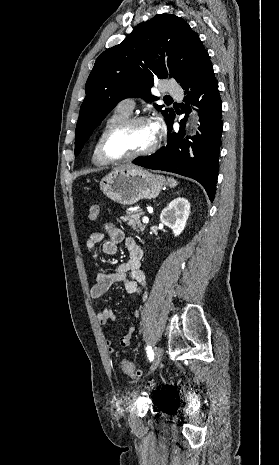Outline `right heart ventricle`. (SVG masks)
Listing matches in <instances>:
<instances>
[{
	"instance_id": "1",
	"label": "right heart ventricle",
	"mask_w": 279,
	"mask_h": 465,
	"mask_svg": "<svg viewBox=\"0 0 279 465\" xmlns=\"http://www.w3.org/2000/svg\"><path fill=\"white\" fill-rule=\"evenodd\" d=\"M130 114H131L130 112H127L123 110L121 107L117 106L112 112V114L105 120L103 126L101 127L98 133V136H97L94 148H93V152H92V161L95 165L105 166L108 164L102 159L100 152H99V143L105 131L108 128H110L112 125L128 118Z\"/></svg>"
}]
</instances>
